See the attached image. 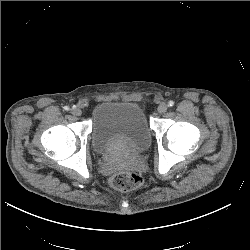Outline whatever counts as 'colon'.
I'll return each mask as SVG.
<instances>
[{
    "label": "colon",
    "mask_w": 250,
    "mask_h": 250,
    "mask_svg": "<svg viewBox=\"0 0 250 250\" xmlns=\"http://www.w3.org/2000/svg\"><path fill=\"white\" fill-rule=\"evenodd\" d=\"M142 176L136 172H119L111 175L108 180L109 186L120 192H128L141 186Z\"/></svg>",
    "instance_id": "1"
}]
</instances>
